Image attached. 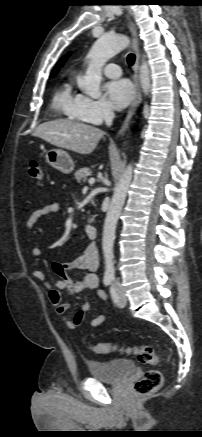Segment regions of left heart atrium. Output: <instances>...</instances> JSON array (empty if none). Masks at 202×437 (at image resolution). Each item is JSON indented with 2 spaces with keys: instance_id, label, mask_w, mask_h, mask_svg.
I'll use <instances>...</instances> for the list:
<instances>
[{
  "instance_id": "39dd6f15",
  "label": "left heart atrium",
  "mask_w": 202,
  "mask_h": 437,
  "mask_svg": "<svg viewBox=\"0 0 202 437\" xmlns=\"http://www.w3.org/2000/svg\"><path fill=\"white\" fill-rule=\"evenodd\" d=\"M106 92L117 109L126 107L134 97V89L127 79L110 81L105 86Z\"/></svg>"
}]
</instances>
